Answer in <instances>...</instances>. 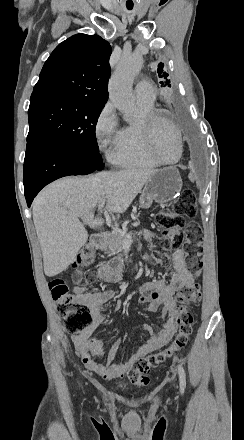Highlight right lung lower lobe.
Instances as JSON below:
<instances>
[{
  "label": "right lung lower lobe",
  "instance_id": "right-lung-lower-lobe-1",
  "mask_svg": "<svg viewBox=\"0 0 244 440\" xmlns=\"http://www.w3.org/2000/svg\"><path fill=\"white\" fill-rule=\"evenodd\" d=\"M103 168L99 153H85L54 141H27L23 181L28 207L38 192L50 182L69 175H86Z\"/></svg>",
  "mask_w": 244,
  "mask_h": 440
}]
</instances>
